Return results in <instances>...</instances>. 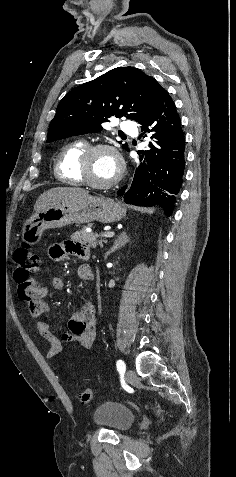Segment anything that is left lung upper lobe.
I'll return each mask as SVG.
<instances>
[{"instance_id": "5c2ea615", "label": "left lung upper lobe", "mask_w": 236, "mask_h": 477, "mask_svg": "<svg viewBox=\"0 0 236 477\" xmlns=\"http://www.w3.org/2000/svg\"><path fill=\"white\" fill-rule=\"evenodd\" d=\"M161 89L153 77L137 68L112 69L64 96L50 123L47 142L101 131L112 117L142 124L153 112ZM122 146L129 150L126 143Z\"/></svg>"}]
</instances>
